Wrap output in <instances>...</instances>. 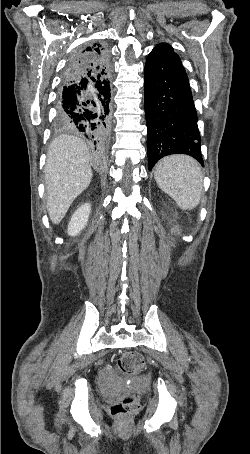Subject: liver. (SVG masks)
I'll return each mask as SVG.
<instances>
[{
    "label": "liver",
    "mask_w": 250,
    "mask_h": 454,
    "mask_svg": "<svg viewBox=\"0 0 250 454\" xmlns=\"http://www.w3.org/2000/svg\"><path fill=\"white\" fill-rule=\"evenodd\" d=\"M93 172L85 142L61 135L50 145L45 165L47 211L53 224H59L70 205L90 184Z\"/></svg>",
    "instance_id": "liver-1"
}]
</instances>
